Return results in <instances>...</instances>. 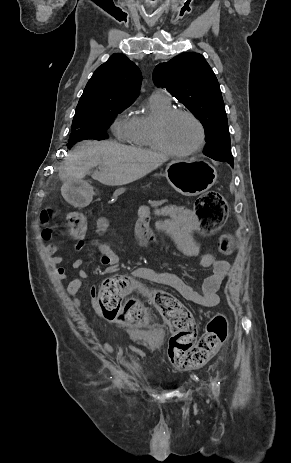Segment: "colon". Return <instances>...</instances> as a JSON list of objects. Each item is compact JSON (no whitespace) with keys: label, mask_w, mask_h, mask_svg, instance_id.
<instances>
[{"label":"colon","mask_w":291,"mask_h":463,"mask_svg":"<svg viewBox=\"0 0 291 463\" xmlns=\"http://www.w3.org/2000/svg\"><path fill=\"white\" fill-rule=\"evenodd\" d=\"M228 206L225 198L218 191H209L201 195L194 206V212L187 206L173 202H157L153 206H142V217L149 219L153 215L159 217V226H189L194 231L210 233L218 229L225 221ZM58 213L53 207L44 209L40 214L43 225V236L48 241L57 235L80 236L87 229L86 217L83 213L69 212L64 223L49 225ZM170 216V217H167ZM220 250L224 254L231 253L232 241L224 235L220 239ZM139 295L150 305L159 310L171 323L173 335L169 342L168 358L179 370H190L206 363L225 342L228 335V323L224 316L216 315L207 324L205 332L196 341V325L192 313L174 299L169 293L150 289L127 275H115L107 278L99 292L98 300L102 314L109 320H127L142 326L148 321V314L143 305L136 299H124Z\"/></svg>","instance_id":"5ec220e1"}]
</instances>
